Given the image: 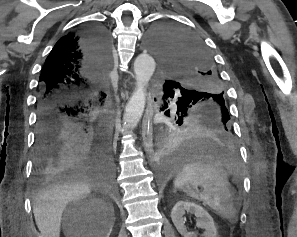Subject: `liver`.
<instances>
[{
	"instance_id": "liver-1",
	"label": "liver",
	"mask_w": 297,
	"mask_h": 237,
	"mask_svg": "<svg viewBox=\"0 0 297 237\" xmlns=\"http://www.w3.org/2000/svg\"><path fill=\"white\" fill-rule=\"evenodd\" d=\"M90 192L89 178L73 175L35 194L33 214L41 237H60L62 214L67 204Z\"/></svg>"
}]
</instances>
